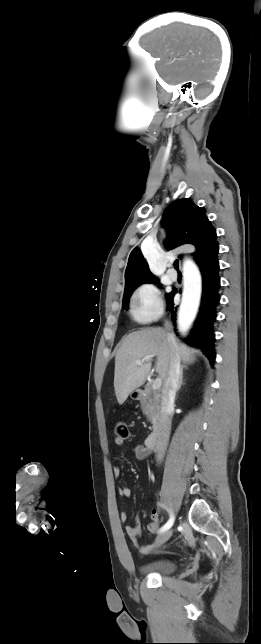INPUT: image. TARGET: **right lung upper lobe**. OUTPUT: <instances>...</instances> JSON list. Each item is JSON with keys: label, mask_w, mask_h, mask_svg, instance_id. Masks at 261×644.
Segmentation results:
<instances>
[{"label": "right lung upper lobe", "mask_w": 261, "mask_h": 644, "mask_svg": "<svg viewBox=\"0 0 261 644\" xmlns=\"http://www.w3.org/2000/svg\"><path fill=\"white\" fill-rule=\"evenodd\" d=\"M163 227L168 231L165 247L175 249L184 244L196 247L193 253L198 264L217 257L216 231L205 215V211L191 199L173 202L163 213ZM156 281L140 249L135 247L128 259L125 271V289L140 282Z\"/></svg>", "instance_id": "obj_1"}]
</instances>
